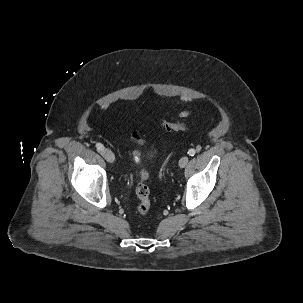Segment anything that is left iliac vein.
<instances>
[{"instance_id":"1","label":"left iliac vein","mask_w":303,"mask_h":303,"mask_svg":"<svg viewBox=\"0 0 303 303\" xmlns=\"http://www.w3.org/2000/svg\"><path fill=\"white\" fill-rule=\"evenodd\" d=\"M188 161H189L188 156H183V157L179 160V166H180V168H184V167L187 165Z\"/></svg>"}]
</instances>
